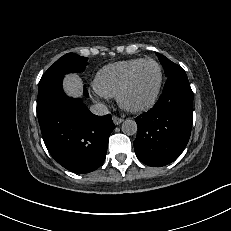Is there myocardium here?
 Returning a JSON list of instances; mask_svg holds the SVG:
<instances>
[{
    "instance_id": "obj_1",
    "label": "myocardium",
    "mask_w": 231,
    "mask_h": 231,
    "mask_svg": "<svg viewBox=\"0 0 231 231\" xmlns=\"http://www.w3.org/2000/svg\"><path fill=\"white\" fill-rule=\"evenodd\" d=\"M146 63H153L157 66L158 71H159V79H158V83L156 86V89L152 95V97L145 102L142 105L139 106H132L129 105L126 102V94L132 84L133 78L136 74V72L138 71V69L146 64ZM163 79H164V74H163V69L162 66L160 65V63L152 58H148V59H143L141 62H139L137 65H135L131 71L128 73L124 83L122 84L120 90L118 91L117 94V102L120 105L121 108H123L124 110L128 111V112H132V113H140V112H144L146 110H149L150 108H152L154 106V104L157 102L160 92H161V88L163 85Z\"/></svg>"
}]
</instances>
